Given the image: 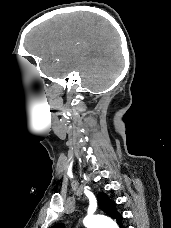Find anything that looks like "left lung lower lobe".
<instances>
[{"instance_id":"obj_1","label":"left lung lower lobe","mask_w":171,"mask_h":228,"mask_svg":"<svg viewBox=\"0 0 171 228\" xmlns=\"http://www.w3.org/2000/svg\"><path fill=\"white\" fill-rule=\"evenodd\" d=\"M119 225H120V228H124L123 225H122V223H120Z\"/></svg>"}]
</instances>
